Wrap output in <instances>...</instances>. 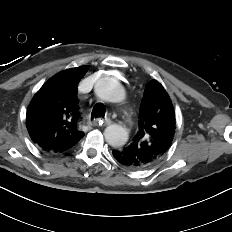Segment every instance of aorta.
I'll return each instance as SVG.
<instances>
[{"label":"aorta","instance_id":"aorta-1","mask_svg":"<svg viewBox=\"0 0 232 232\" xmlns=\"http://www.w3.org/2000/svg\"><path fill=\"white\" fill-rule=\"evenodd\" d=\"M95 94L102 100L120 103L125 99L122 85L112 77H104L95 84ZM106 142L112 147H121L128 141L127 130L117 124L108 126L104 131Z\"/></svg>","mask_w":232,"mask_h":232}]
</instances>
